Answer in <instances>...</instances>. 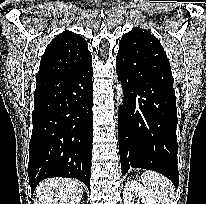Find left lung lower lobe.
Instances as JSON below:
<instances>
[{"instance_id": "1", "label": "left lung lower lobe", "mask_w": 206, "mask_h": 204, "mask_svg": "<svg viewBox=\"0 0 206 204\" xmlns=\"http://www.w3.org/2000/svg\"><path fill=\"white\" fill-rule=\"evenodd\" d=\"M125 91L118 114L122 174L130 167L154 170L178 186L177 109L171 69L142 61L134 70L116 57Z\"/></svg>"}]
</instances>
